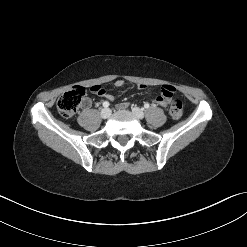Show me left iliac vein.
Here are the masks:
<instances>
[{
    "mask_svg": "<svg viewBox=\"0 0 247 247\" xmlns=\"http://www.w3.org/2000/svg\"><path fill=\"white\" fill-rule=\"evenodd\" d=\"M133 114L138 118V119H143L144 118V112L142 109L138 107H133L132 108Z\"/></svg>",
    "mask_w": 247,
    "mask_h": 247,
    "instance_id": "obj_1",
    "label": "left iliac vein"
}]
</instances>
